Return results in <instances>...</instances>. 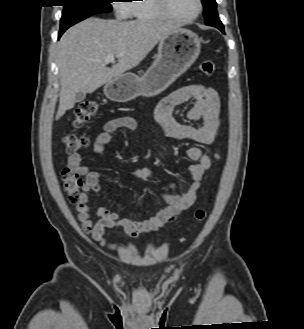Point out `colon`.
I'll return each instance as SVG.
<instances>
[{
	"label": "colon",
	"instance_id": "5ec220e1",
	"mask_svg": "<svg viewBox=\"0 0 304 329\" xmlns=\"http://www.w3.org/2000/svg\"><path fill=\"white\" fill-rule=\"evenodd\" d=\"M200 69L207 76H212L217 73L216 64L211 60L203 61L200 64ZM98 110V101L94 99L85 100L75 112L73 126L77 128L84 126L96 116ZM63 144L66 152L73 153L85 148L88 144V139L83 135L67 134L63 137ZM62 187L68 200L76 204L80 200L83 192V179L72 169H66L62 174ZM206 215L205 210L199 209L195 213V219L197 222H202L205 220Z\"/></svg>",
	"mask_w": 304,
	"mask_h": 329
}]
</instances>
